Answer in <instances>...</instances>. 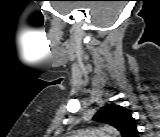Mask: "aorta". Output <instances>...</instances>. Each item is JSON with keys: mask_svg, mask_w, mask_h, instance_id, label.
Here are the masks:
<instances>
[{"mask_svg": "<svg viewBox=\"0 0 160 137\" xmlns=\"http://www.w3.org/2000/svg\"><path fill=\"white\" fill-rule=\"evenodd\" d=\"M105 132H108L110 134H113V135H118L119 132L112 126L110 125H106L103 129Z\"/></svg>", "mask_w": 160, "mask_h": 137, "instance_id": "aorta-1", "label": "aorta"}]
</instances>
